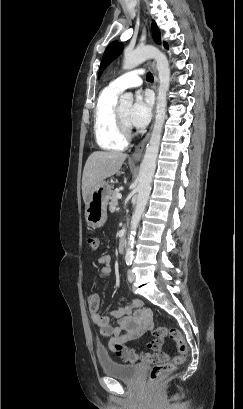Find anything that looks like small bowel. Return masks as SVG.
Here are the masks:
<instances>
[{
  "mask_svg": "<svg viewBox=\"0 0 243 409\" xmlns=\"http://www.w3.org/2000/svg\"><path fill=\"white\" fill-rule=\"evenodd\" d=\"M111 261L110 255L99 258V262L103 265L100 271L101 277L110 274ZM90 312L92 322L98 328L101 336L109 339V349L122 360L129 363L139 360L155 363L169 359L168 354L161 351L163 340L154 339L147 342L146 347L151 352L128 346L129 343L146 335L152 328V316L141 300L135 299L129 305L112 309L107 314L91 309ZM112 320H116L117 324L112 325Z\"/></svg>",
  "mask_w": 243,
  "mask_h": 409,
  "instance_id": "1",
  "label": "small bowel"
}]
</instances>
